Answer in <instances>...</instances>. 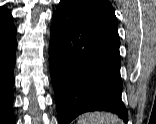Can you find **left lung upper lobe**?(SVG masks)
I'll return each instance as SVG.
<instances>
[{"label":"left lung upper lobe","instance_id":"obj_1","mask_svg":"<svg viewBox=\"0 0 156 124\" xmlns=\"http://www.w3.org/2000/svg\"><path fill=\"white\" fill-rule=\"evenodd\" d=\"M87 15L118 28L117 19L111 4L107 0H66Z\"/></svg>","mask_w":156,"mask_h":124}]
</instances>
